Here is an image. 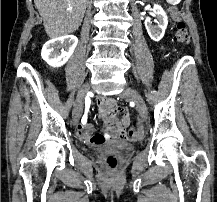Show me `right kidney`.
Instances as JSON below:
<instances>
[{
	"instance_id": "ca27d5eb",
	"label": "right kidney",
	"mask_w": 217,
	"mask_h": 202,
	"mask_svg": "<svg viewBox=\"0 0 217 202\" xmlns=\"http://www.w3.org/2000/svg\"><path fill=\"white\" fill-rule=\"evenodd\" d=\"M77 44L76 36H62V38L48 40L42 48L41 56L49 66L60 68L72 56Z\"/></svg>"
}]
</instances>
